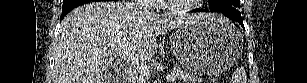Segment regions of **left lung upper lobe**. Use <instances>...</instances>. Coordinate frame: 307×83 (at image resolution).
Instances as JSON below:
<instances>
[{"mask_svg": "<svg viewBox=\"0 0 307 83\" xmlns=\"http://www.w3.org/2000/svg\"><path fill=\"white\" fill-rule=\"evenodd\" d=\"M209 6L214 10H229L230 12L240 15V0H209Z\"/></svg>", "mask_w": 307, "mask_h": 83, "instance_id": "left-lung-upper-lobe-1", "label": "left lung upper lobe"}]
</instances>
